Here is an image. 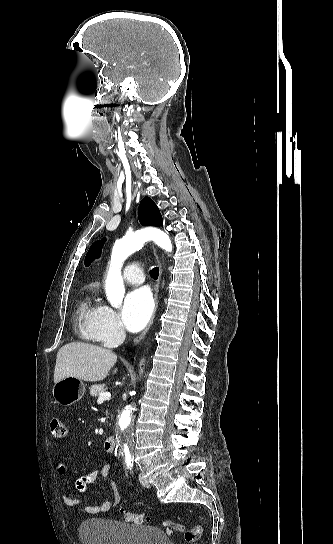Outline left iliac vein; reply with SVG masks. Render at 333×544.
<instances>
[{"label":"left iliac vein","instance_id":"4c4485c4","mask_svg":"<svg viewBox=\"0 0 333 544\" xmlns=\"http://www.w3.org/2000/svg\"><path fill=\"white\" fill-rule=\"evenodd\" d=\"M139 481L142 484V486L147 487V488L150 487V483L145 478H143L142 476H139Z\"/></svg>","mask_w":333,"mask_h":544}]
</instances>
